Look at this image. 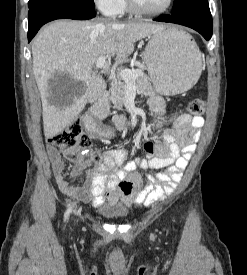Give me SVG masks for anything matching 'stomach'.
I'll use <instances>...</instances> for the list:
<instances>
[{
  "mask_svg": "<svg viewBox=\"0 0 247 275\" xmlns=\"http://www.w3.org/2000/svg\"><path fill=\"white\" fill-rule=\"evenodd\" d=\"M175 27L151 34L144 61L156 92L177 95L189 90L202 70L201 53L195 42Z\"/></svg>",
  "mask_w": 247,
  "mask_h": 275,
  "instance_id": "stomach-1",
  "label": "stomach"
}]
</instances>
